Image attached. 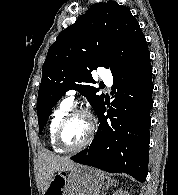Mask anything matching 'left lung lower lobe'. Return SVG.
<instances>
[{"label":"left lung lower lobe","mask_w":178,"mask_h":195,"mask_svg":"<svg viewBox=\"0 0 178 195\" xmlns=\"http://www.w3.org/2000/svg\"><path fill=\"white\" fill-rule=\"evenodd\" d=\"M113 78L115 98L107 116L103 115L105 101L97 113L100 124L94 140L71 159L111 173L124 172L138 181H145L153 106L150 52L131 62Z\"/></svg>","instance_id":"left-lung-lower-lobe-1"}]
</instances>
